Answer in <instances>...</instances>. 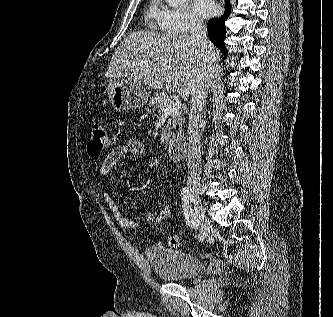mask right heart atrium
<instances>
[{
    "mask_svg": "<svg viewBox=\"0 0 333 317\" xmlns=\"http://www.w3.org/2000/svg\"><path fill=\"white\" fill-rule=\"evenodd\" d=\"M159 27L170 33H186L199 27V21L185 8H171L162 5L158 15Z\"/></svg>",
    "mask_w": 333,
    "mask_h": 317,
    "instance_id": "d8ad5b80",
    "label": "right heart atrium"
}]
</instances>
